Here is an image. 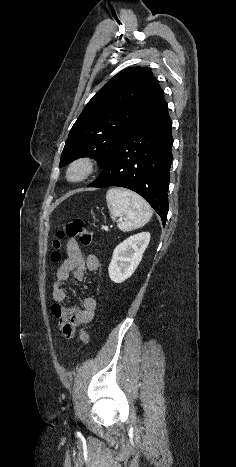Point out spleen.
I'll use <instances>...</instances> for the list:
<instances>
[{"label": "spleen", "instance_id": "obj_1", "mask_svg": "<svg viewBox=\"0 0 236 467\" xmlns=\"http://www.w3.org/2000/svg\"><path fill=\"white\" fill-rule=\"evenodd\" d=\"M106 201L112 220L123 218L118 223V228L124 232L144 226L153 214L151 207L141 196L126 189H109Z\"/></svg>", "mask_w": 236, "mask_h": 467}]
</instances>
